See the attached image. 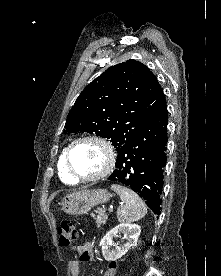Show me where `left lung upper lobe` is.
Returning <instances> with one entry per match:
<instances>
[{
	"mask_svg": "<svg viewBox=\"0 0 221 276\" xmlns=\"http://www.w3.org/2000/svg\"><path fill=\"white\" fill-rule=\"evenodd\" d=\"M165 105L163 90L148 67L127 60L85 87L69 111L65 132L95 133L109 139L118 152Z\"/></svg>",
	"mask_w": 221,
	"mask_h": 276,
	"instance_id": "5c2ea615",
	"label": "left lung upper lobe"
}]
</instances>
